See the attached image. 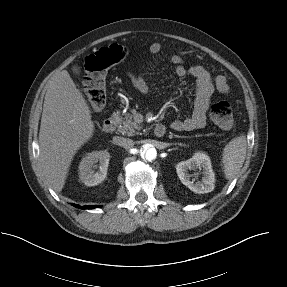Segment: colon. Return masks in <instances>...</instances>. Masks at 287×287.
<instances>
[{"instance_id":"colon-1","label":"colon","mask_w":287,"mask_h":287,"mask_svg":"<svg viewBox=\"0 0 287 287\" xmlns=\"http://www.w3.org/2000/svg\"><path fill=\"white\" fill-rule=\"evenodd\" d=\"M128 55L125 46L111 44L103 47L85 59L83 89L87 102L93 110H101L106 103L105 78L107 71L113 65L121 62ZM211 119L224 130L233 126V111L231 104L220 100L211 106Z\"/></svg>"}]
</instances>
